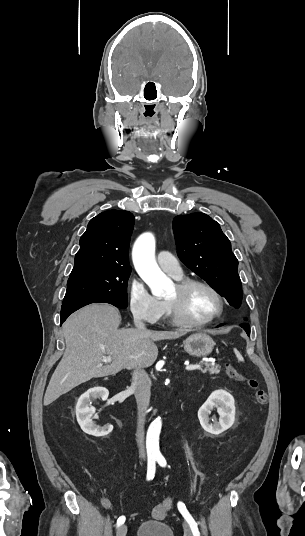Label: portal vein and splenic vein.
<instances>
[{
  "instance_id": "portal-vein-and-splenic-vein-1",
  "label": "portal vein and splenic vein",
  "mask_w": 305,
  "mask_h": 536,
  "mask_svg": "<svg viewBox=\"0 0 305 536\" xmlns=\"http://www.w3.org/2000/svg\"><path fill=\"white\" fill-rule=\"evenodd\" d=\"M102 362H105V364H107V362H112L111 356H106V358H103ZM100 366H103V364H100ZM185 370H201V366H188V364H186Z\"/></svg>"
}]
</instances>
